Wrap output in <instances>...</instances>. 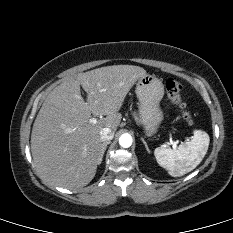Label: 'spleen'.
Returning <instances> with one entry per match:
<instances>
[{
    "label": "spleen",
    "instance_id": "spleen-1",
    "mask_svg": "<svg viewBox=\"0 0 233 233\" xmlns=\"http://www.w3.org/2000/svg\"><path fill=\"white\" fill-rule=\"evenodd\" d=\"M210 138L202 130H194L193 138L176 149L158 147L154 150L157 163L173 177H180L195 169L207 153Z\"/></svg>",
    "mask_w": 233,
    "mask_h": 233
}]
</instances>
